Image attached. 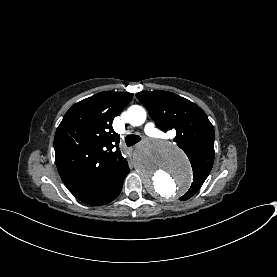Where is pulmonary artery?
Masks as SVG:
<instances>
[{"label":"pulmonary artery","mask_w":277,"mask_h":277,"mask_svg":"<svg viewBox=\"0 0 277 277\" xmlns=\"http://www.w3.org/2000/svg\"><path fill=\"white\" fill-rule=\"evenodd\" d=\"M143 131L149 136L156 137V139L158 140H171L173 138L172 130L167 131L165 133H160L158 132L156 125H154L151 121L146 122Z\"/></svg>","instance_id":"e3ab8cb5"}]
</instances>
